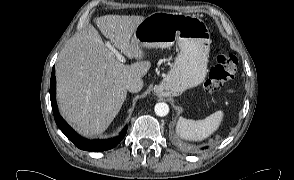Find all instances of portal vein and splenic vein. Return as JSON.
<instances>
[{"label": "portal vein and splenic vein", "instance_id": "obj_1", "mask_svg": "<svg viewBox=\"0 0 294 180\" xmlns=\"http://www.w3.org/2000/svg\"><path fill=\"white\" fill-rule=\"evenodd\" d=\"M105 44L108 47V49L111 50V52H113V54H115L116 58L121 63H124L126 61L125 58H124V56L117 49H115L114 46H112L110 42H107Z\"/></svg>", "mask_w": 294, "mask_h": 180}]
</instances>
